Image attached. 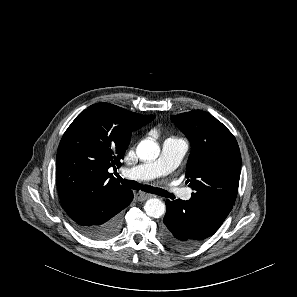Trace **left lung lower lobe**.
<instances>
[{
    "mask_svg": "<svg viewBox=\"0 0 297 297\" xmlns=\"http://www.w3.org/2000/svg\"><path fill=\"white\" fill-rule=\"evenodd\" d=\"M233 205L194 199L166 200V215L161 239L176 250H189L213 235L221 226Z\"/></svg>",
    "mask_w": 297,
    "mask_h": 297,
    "instance_id": "0a47b994",
    "label": "left lung lower lobe"
}]
</instances>
